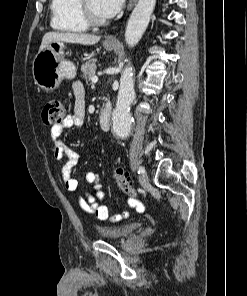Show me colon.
I'll list each match as a JSON object with an SVG mask.
<instances>
[{
	"label": "colon",
	"mask_w": 247,
	"mask_h": 296,
	"mask_svg": "<svg viewBox=\"0 0 247 296\" xmlns=\"http://www.w3.org/2000/svg\"><path fill=\"white\" fill-rule=\"evenodd\" d=\"M66 115V110L64 105L59 100H50L44 106L42 111V119L46 125H59L61 124ZM113 178L119 188L128 196L136 197L137 192L129 183L127 177L125 176L122 169H116L113 172ZM143 210L140 209V211Z\"/></svg>",
	"instance_id": "1"
}]
</instances>
